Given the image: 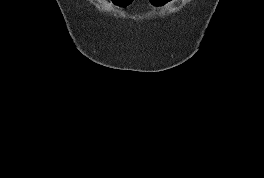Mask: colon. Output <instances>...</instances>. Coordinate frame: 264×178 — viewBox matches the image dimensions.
I'll return each instance as SVG.
<instances>
[{"instance_id":"5ec220e1","label":"colon","mask_w":264,"mask_h":178,"mask_svg":"<svg viewBox=\"0 0 264 178\" xmlns=\"http://www.w3.org/2000/svg\"><path fill=\"white\" fill-rule=\"evenodd\" d=\"M112 4L118 9H125L132 0H111ZM150 4L155 8H162L170 3V0H149Z\"/></svg>"}]
</instances>
